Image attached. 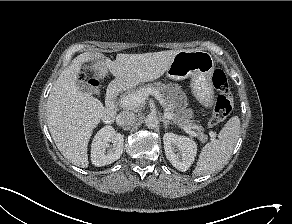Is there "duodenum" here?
I'll return each instance as SVG.
<instances>
[{"label": "duodenum", "mask_w": 292, "mask_h": 224, "mask_svg": "<svg viewBox=\"0 0 292 224\" xmlns=\"http://www.w3.org/2000/svg\"><path fill=\"white\" fill-rule=\"evenodd\" d=\"M121 90H122V86H120L119 84L113 83L109 85V87L107 88V93L105 97V104L109 108H110L111 103L114 101L117 95L121 92ZM107 119L109 118L107 117Z\"/></svg>", "instance_id": "duodenum-1"}]
</instances>
